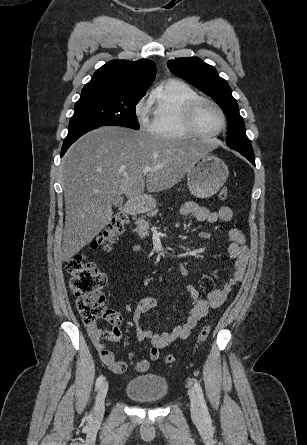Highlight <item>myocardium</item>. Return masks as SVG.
Returning <instances> with one entry per match:
<instances>
[{"label": "myocardium", "instance_id": "f54148a6", "mask_svg": "<svg viewBox=\"0 0 307 445\" xmlns=\"http://www.w3.org/2000/svg\"><path fill=\"white\" fill-rule=\"evenodd\" d=\"M201 104L213 105L221 112L224 120V126L220 131L216 133H207L201 128L198 122V110ZM184 115L186 118L187 125L190 128L191 132L196 136H198L199 138L205 139V138L217 137L222 133H224L228 127L227 112L219 103L209 98L196 97L195 99L190 101L185 107Z\"/></svg>", "mask_w": 307, "mask_h": 445}]
</instances>
